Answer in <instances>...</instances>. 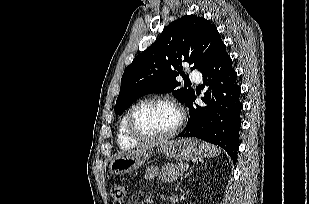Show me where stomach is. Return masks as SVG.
Here are the masks:
<instances>
[{"mask_svg":"<svg viewBox=\"0 0 309 204\" xmlns=\"http://www.w3.org/2000/svg\"><path fill=\"white\" fill-rule=\"evenodd\" d=\"M202 151V145L198 140L193 138L166 140L156 149L157 153H162L177 161L193 159L199 156ZM153 152V149H144L118 156L111 161L109 165L110 172L116 175L132 172L141 167Z\"/></svg>","mask_w":309,"mask_h":204,"instance_id":"obj_1","label":"stomach"}]
</instances>
